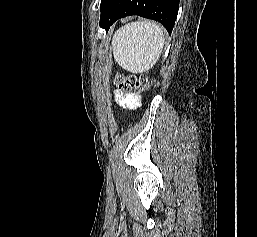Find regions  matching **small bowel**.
Here are the masks:
<instances>
[{"label": "small bowel", "mask_w": 257, "mask_h": 237, "mask_svg": "<svg viewBox=\"0 0 257 237\" xmlns=\"http://www.w3.org/2000/svg\"><path fill=\"white\" fill-rule=\"evenodd\" d=\"M117 102L129 109L136 108L140 104V97L133 93L116 92Z\"/></svg>", "instance_id": "1"}]
</instances>
